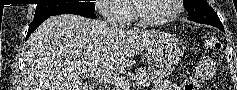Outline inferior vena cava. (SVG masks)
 <instances>
[{
	"instance_id": "602c4592",
	"label": "inferior vena cava",
	"mask_w": 237,
	"mask_h": 90,
	"mask_svg": "<svg viewBox=\"0 0 237 90\" xmlns=\"http://www.w3.org/2000/svg\"><path fill=\"white\" fill-rule=\"evenodd\" d=\"M108 24V30H117L116 26H114L113 22H109V20H106Z\"/></svg>"
}]
</instances>
